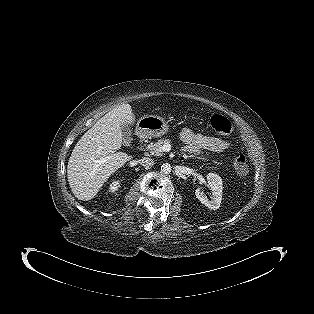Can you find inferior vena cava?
Wrapping results in <instances>:
<instances>
[{"label": "inferior vena cava", "mask_w": 314, "mask_h": 314, "mask_svg": "<svg viewBox=\"0 0 314 314\" xmlns=\"http://www.w3.org/2000/svg\"><path fill=\"white\" fill-rule=\"evenodd\" d=\"M138 162L140 165H142L146 169H149V168L153 167V165H154L153 159L148 158V157H143V158L139 159Z\"/></svg>", "instance_id": "inferior-vena-cava-1"}]
</instances>
